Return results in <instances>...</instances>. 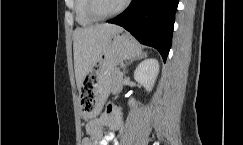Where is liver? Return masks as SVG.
<instances>
[{
    "mask_svg": "<svg viewBox=\"0 0 243 145\" xmlns=\"http://www.w3.org/2000/svg\"><path fill=\"white\" fill-rule=\"evenodd\" d=\"M122 31V27L112 24L75 29L73 33L74 69L79 90L83 86L86 75L100 60L112 36Z\"/></svg>",
    "mask_w": 243,
    "mask_h": 145,
    "instance_id": "obj_1",
    "label": "liver"
}]
</instances>
